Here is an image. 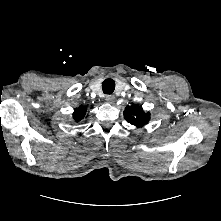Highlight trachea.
Returning a JSON list of instances; mask_svg holds the SVG:
<instances>
[{"mask_svg":"<svg viewBox=\"0 0 221 221\" xmlns=\"http://www.w3.org/2000/svg\"><path fill=\"white\" fill-rule=\"evenodd\" d=\"M102 88L105 94H112L113 91L115 90V81L112 79L104 80Z\"/></svg>","mask_w":221,"mask_h":221,"instance_id":"1","label":"trachea"}]
</instances>
